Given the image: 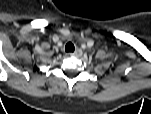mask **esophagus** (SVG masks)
I'll return each instance as SVG.
<instances>
[{
    "label": "esophagus",
    "mask_w": 151,
    "mask_h": 114,
    "mask_svg": "<svg viewBox=\"0 0 151 114\" xmlns=\"http://www.w3.org/2000/svg\"><path fill=\"white\" fill-rule=\"evenodd\" d=\"M71 56L77 57L82 55V50L81 49H76L75 52L70 54Z\"/></svg>",
    "instance_id": "esophagus-1"
}]
</instances>
